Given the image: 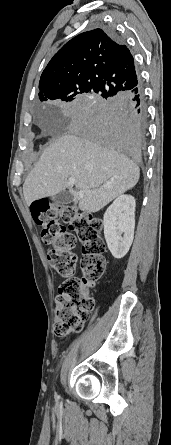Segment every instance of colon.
<instances>
[{"label": "colon", "mask_w": 171, "mask_h": 445, "mask_svg": "<svg viewBox=\"0 0 171 445\" xmlns=\"http://www.w3.org/2000/svg\"><path fill=\"white\" fill-rule=\"evenodd\" d=\"M32 218L41 227L42 241L50 246L48 261L52 268L67 279L60 285L55 303L54 333L63 338L79 332L93 300L89 290L106 268V244L101 237L102 220L88 212H79L70 205H50L35 201L30 206ZM82 249V277L74 276L76 256L73 249Z\"/></svg>", "instance_id": "5ec220e1"}]
</instances>
